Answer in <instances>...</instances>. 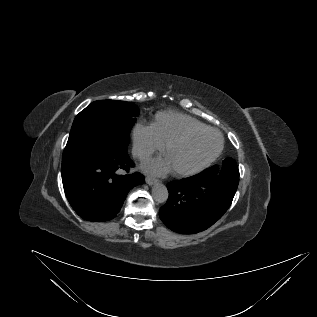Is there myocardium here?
Returning a JSON list of instances; mask_svg holds the SVG:
<instances>
[{"label": "myocardium", "mask_w": 317, "mask_h": 317, "mask_svg": "<svg viewBox=\"0 0 317 317\" xmlns=\"http://www.w3.org/2000/svg\"><path fill=\"white\" fill-rule=\"evenodd\" d=\"M203 132H214L216 133L219 138H220V143L218 148L215 150V152L209 156L205 161L201 162L197 166L187 169V170H173V174L178 177H186V176H191L195 175L204 169H206L208 166H210L221 154L223 148H224V137L220 131H218L215 128L212 127H202V128H191L188 129L181 134L177 135L176 137L170 139L163 147V153L164 155L173 147L183 143L185 140H187L189 137L203 133Z\"/></svg>", "instance_id": "f54148a6"}]
</instances>
